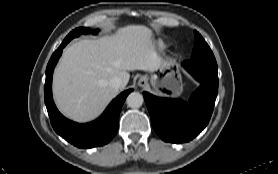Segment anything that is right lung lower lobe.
<instances>
[{
    "instance_id": "obj_1",
    "label": "right lung lower lobe",
    "mask_w": 278,
    "mask_h": 174,
    "mask_svg": "<svg viewBox=\"0 0 278 174\" xmlns=\"http://www.w3.org/2000/svg\"><path fill=\"white\" fill-rule=\"evenodd\" d=\"M67 43L68 41L62 42L53 53L46 68L44 97L52 127L57 134L79 148L102 146L110 142L115 136L122 105L132 90L129 89L121 93L109 104L104 113L91 123L78 124L66 119L60 114L53 102L51 84L54 67L62 54V49Z\"/></svg>"
}]
</instances>
